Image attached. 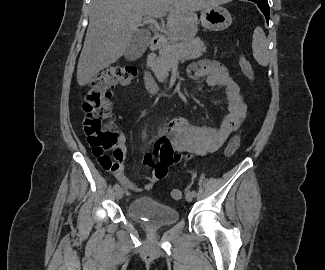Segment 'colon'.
Wrapping results in <instances>:
<instances>
[{
  "mask_svg": "<svg viewBox=\"0 0 325 270\" xmlns=\"http://www.w3.org/2000/svg\"><path fill=\"white\" fill-rule=\"evenodd\" d=\"M239 64L246 78L253 81L254 70L251 63L245 57H240ZM136 74L134 67H109L90 81L84 96L82 104L85 113L84 131L93 155L107 170L118 168V154L115 149L118 132L112 114L111 88L117 84L129 83ZM240 141V134L231 138L225 149L226 157H230L239 148ZM112 150L113 156L111 157L108 152ZM170 195L173 200L182 198V192L179 189H173Z\"/></svg>",
  "mask_w": 325,
  "mask_h": 270,
  "instance_id": "colon-1",
  "label": "colon"
}]
</instances>
